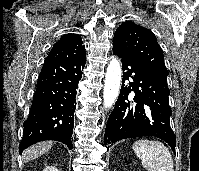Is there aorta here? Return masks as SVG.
I'll use <instances>...</instances> for the list:
<instances>
[{"label":"aorta","mask_w":199,"mask_h":171,"mask_svg":"<svg viewBox=\"0 0 199 171\" xmlns=\"http://www.w3.org/2000/svg\"><path fill=\"white\" fill-rule=\"evenodd\" d=\"M121 65L117 58L113 57L108 64L104 82L103 100L104 108H110L116 101L121 86Z\"/></svg>","instance_id":"1"}]
</instances>
